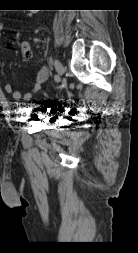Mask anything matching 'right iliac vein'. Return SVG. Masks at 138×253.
Segmentation results:
<instances>
[{
  "mask_svg": "<svg viewBox=\"0 0 138 253\" xmlns=\"http://www.w3.org/2000/svg\"><path fill=\"white\" fill-rule=\"evenodd\" d=\"M54 65H55V69H56L58 75L59 76L62 75L64 73V67H63L62 63L59 60H55Z\"/></svg>",
  "mask_w": 138,
  "mask_h": 253,
  "instance_id": "right-iliac-vein-1",
  "label": "right iliac vein"
}]
</instances>
